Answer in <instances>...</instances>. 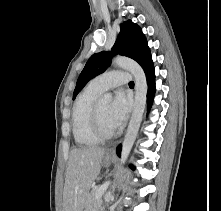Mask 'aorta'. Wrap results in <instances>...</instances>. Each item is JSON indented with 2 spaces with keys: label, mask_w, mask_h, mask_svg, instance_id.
I'll return each mask as SVG.
<instances>
[{
  "label": "aorta",
  "mask_w": 221,
  "mask_h": 211,
  "mask_svg": "<svg viewBox=\"0 0 221 211\" xmlns=\"http://www.w3.org/2000/svg\"><path fill=\"white\" fill-rule=\"evenodd\" d=\"M113 64L129 71L135 79L134 109L131 115L125 138L122 143L120 158L121 163H125L135 142L145 110L147 80L142 67L132 59L126 57H116L113 60ZM111 101L112 95L110 93H106L102 98V102L105 104H108Z\"/></svg>",
  "instance_id": "obj_1"
}]
</instances>
